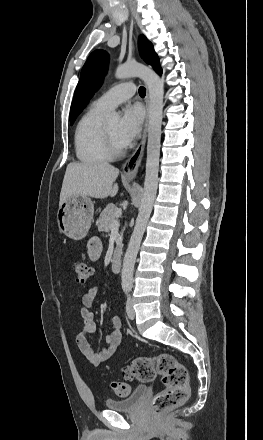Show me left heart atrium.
I'll return each instance as SVG.
<instances>
[{
    "label": "left heart atrium",
    "instance_id": "39dd6f15",
    "mask_svg": "<svg viewBox=\"0 0 263 440\" xmlns=\"http://www.w3.org/2000/svg\"><path fill=\"white\" fill-rule=\"evenodd\" d=\"M144 112L139 106H130L123 111L118 125V138L122 145H130L140 134Z\"/></svg>",
    "mask_w": 263,
    "mask_h": 440
}]
</instances>
